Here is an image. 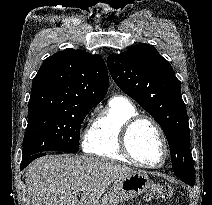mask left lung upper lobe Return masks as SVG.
I'll return each instance as SVG.
<instances>
[{"label": "left lung upper lobe", "mask_w": 212, "mask_h": 205, "mask_svg": "<svg viewBox=\"0 0 212 205\" xmlns=\"http://www.w3.org/2000/svg\"><path fill=\"white\" fill-rule=\"evenodd\" d=\"M110 74L162 127L176 177L195 180L190 130L180 82L170 63L149 44H136L107 58Z\"/></svg>", "instance_id": "obj_1"}]
</instances>
